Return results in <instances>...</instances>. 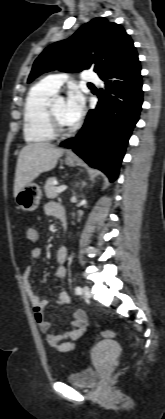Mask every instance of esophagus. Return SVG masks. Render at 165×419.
I'll return each mask as SVG.
<instances>
[{
  "label": "esophagus",
  "instance_id": "obj_1",
  "mask_svg": "<svg viewBox=\"0 0 165 419\" xmlns=\"http://www.w3.org/2000/svg\"><path fill=\"white\" fill-rule=\"evenodd\" d=\"M69 156H73V154L71 152L68 153Z\"/></svg>",
  "mask_w": 165,
  "mask_h": 419
}]
</instances>
